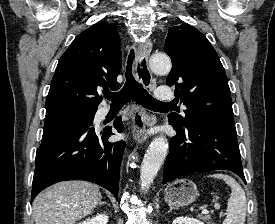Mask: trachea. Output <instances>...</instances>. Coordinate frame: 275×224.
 <instances>
[{
    "label": "trachea",
    "instance_id": "3493384b",
    "mask_svg": "<svg viewBox=\"0 0 275 224\" xmlns=\"http://www.w3.org/2000/svg\"><path fill=\"white\" fill-rule=\"evenodd\" d=\"M134 50L130 51L126 68V82L119 92H107L105 97L110 100L113 106H124L132 99L143 104L148 108H155L161 106H168L171 103L161 102L153 98L143 87L139 84L132 75V63L134 60Z\"/></svg>",
    "mask_w": 275,
    "mask_h": 224
}]
</instances>
